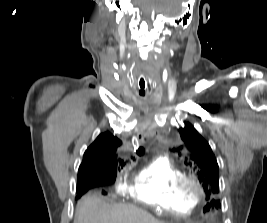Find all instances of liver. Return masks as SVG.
Segmentation results:
<instances>
[{"mask_svg": "<svg viewBox=\"0 0 267 223\" xmlns=\"http://www.w3.org/2000/svg\"><path fill=\"white\" fill-rule=\"evenodd\" d=\"M74 223H164L130 204H108L100 196L86 195L77 204Z\"/></svg>", "mask_w": 267, "mask_h": 223, "instance_id": "liver-1", "label": "liver"}]
</instances>
